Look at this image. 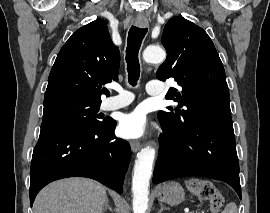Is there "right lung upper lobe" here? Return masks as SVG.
<instances>
[{"label": "right lung upper lobe", "mask_w": 270, "mask_h": 213, "mask_svg": "<svg viewBox=\"0 0 270 213\" xmlns=\"http://www.w3.org/2000/svg\"><path fill=\"white\" fill-rule=\"evenodd\" d=\"M120 52L111 41L107 22L102 19L81 27L57 55L48 78L44 106L78 100L101 103V84L118 79Z\"/></svg>", "instance_id": "right-lung-upper-lobe-1"}]
</instances>
